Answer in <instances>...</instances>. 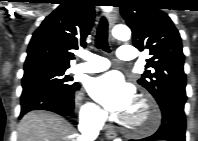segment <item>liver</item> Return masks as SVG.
I'll use <instances>...</instances> for the list:
<instances>
[{"label": "liver", "instance_id": "1", "mask_svg": "<svg viewBox=\"0 0 198 141\" xmlns=\"http://www.w3.org/2000/svg\"><path fill=\"white\" fill-rule=\"evenodd\" d=\"M76 138L73 126L51 112H29L18 125V141H75Z\"/></svg>", "mask_w": 198, "mask_h": 141}]
</instances>
